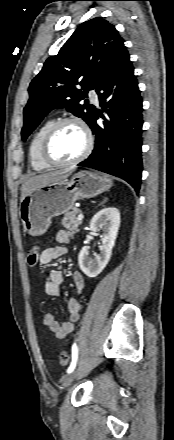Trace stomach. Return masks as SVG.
Instances as JSON below:
<instances>
[{"label": "stomach", "mask_w": 174, "mask_h": 440, "mask_svg": "<svg viewBox=\"0 0 174 440\" xmlns=\"http://www.w3.org/2000/svg\"><path fill=\"white\" fill-rule=\"evenodd\" d=\"M112 184L106 175L80 171L70 179L66 177L32 190L20 204L24 230L32 236L44 234L53 217L68 213L77 200L97 196Z\"/></svg>", "instance_id": "0dacf381"}]
</instances>
